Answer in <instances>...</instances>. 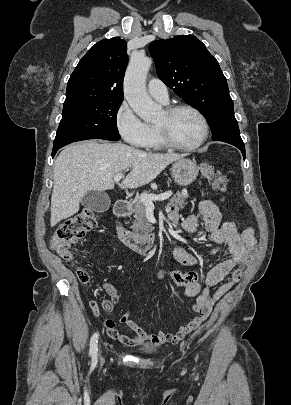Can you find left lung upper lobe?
Listing matches in <instances>:
<instances>
[{"label": "left lung upper lobe", "mask_w": 291, "mask_h": 405, "mask_svg": "<svg viewBox=\"0 0 291 405\" xmlns=\"http://www.w3.org/2000/svg\"><path fill=\"white\" fill-rule=\"evenodd\" d=\"M159 78L207 119L214 141L243 142L227 80L217 60L193 35L150 44Z\"/></svg>", "instance_id": "left-lung-upper-lobe-1"}]
</instances>
